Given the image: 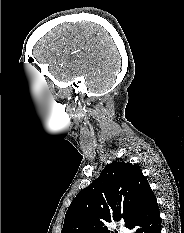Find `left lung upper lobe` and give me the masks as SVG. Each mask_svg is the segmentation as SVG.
Returning <instances> with one entry per match:
<instances>
[{
  "label": "left lung upper lobe",
  "instance_id": "left-lung-upper-lobe-1",
  "mask_svg": "<svg viewBox=\"0 0 184 233\" xmlns=\"http://www.w3.org/2000/svg\"><path fill=\"white\" fill-rule=\"evenodd\" d=\"M150 190L138 166L114 161L73 199L61 233H113L108 223L120 220L127 227Z\"/></svg>",
  "mask_w": 184,
  "mask_h": 233
}]
</instances>
